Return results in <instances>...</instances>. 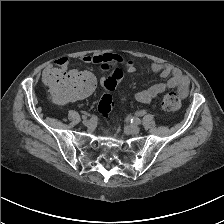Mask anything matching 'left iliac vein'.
Segmentation results:
<instances>
[{"mask_svg":"<svg viewBox=\"0 0 224 224\" xmlns=\"http://www.w3.org/2000/svg\"><path fill=\"white\" fill-rule=\"evenodd\" d=\"M125 130L128 134H138L140 132V128L133 124L126 126Z\"/></svg>","mask_w":224,"mask_h":224,"instance_id":"4c4485c4","label":"left iliac vein"}]
</instances>
